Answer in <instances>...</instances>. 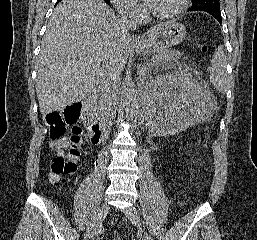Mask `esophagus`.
Wrapping results in <instances>:
<instances>
[{"label":"esophagus","instance_id":"obj_1","mask_svg":"<svg viewBox=\"0 0 257 240\" xmlns=\"http://www.w3.org/2000/svg\"><path fill=\"white\" fill-rule=\"evenodd\" d=\"M142 40L140 38V36L136 35L133 37V43H140Z\"/></svg>","mask_w":257,"mask_h":240}]
</instances>
